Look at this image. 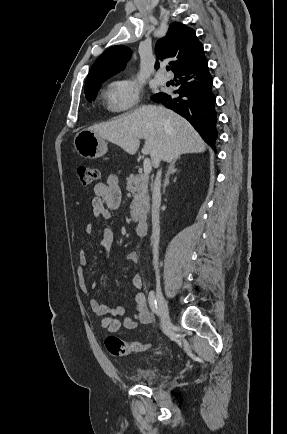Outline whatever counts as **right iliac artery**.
Returning <instances> with one entry per match:
<instances>
[{"label": "right iliac artery", "instance_id": "obj_1", "mask_svg": "<svg viewBox=\"0 0 287 434\" xmlns=\"http://www.w3.org/2000/svg\"><path fill=\"white\" fill-rule=\"evenodd\" d=\"M148 302H149V306H150L152 312L157 314L158 313V307H157V300H156L154 291H150V293L148 295Z\"/></svg>", "mask_w": 287, "mask_h": 434}]
</instances>
